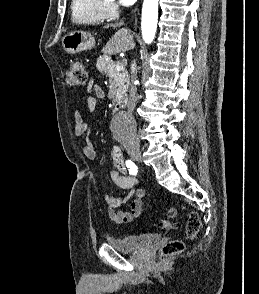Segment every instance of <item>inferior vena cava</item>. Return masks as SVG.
I'll list each match as a JSON object with an SVG mask.
<instances>
[{"label":"inferior vena cava","mask_w":259,"mask_h":294,"mask_svg":"<svg viewBox=\"0 0 259 294\" xmlns=\"http://www.w3.org/2000/svg\"><path fill=\"white\" fill-rule=\"evenodd\" d=\"M120 24L122 25L123 22H120ZM135 67H136V62L134 61L132 63V73H131V82H130V91H129V101H128V114L130 116L133 115L134 109L136 107V102H137V86H136V79H137V73L135 71ZM133 143L136 146H139V139L137 137L133 138Z\"/></svg>","instance_id":"inferior-vena-cava-1"}]
</instances>
